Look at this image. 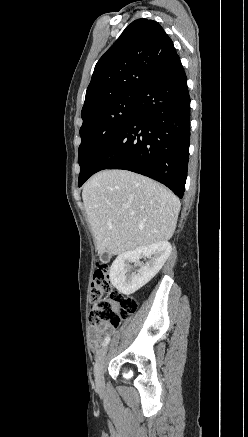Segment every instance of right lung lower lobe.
Here are the masks:
<instances>
[{
    "label": "right lung lower lobe",
    "mask_w": 248,
    "mask_h": 437,
    "mask_svg": "<svg viewBox=\"0 0 248 437\" xmlns=\"http://www.w3.org/2000/svg\"><path fill=\"white\" fill-rule=\"evenodd\" d=\"M189 140L190 97L176 56L137 94L131 115L95 157L79 186L100 170L125 169L163 183L182 198Z\"/></svg>",
    "instance_id": "obj_1"
}]
</instances>
